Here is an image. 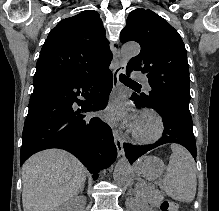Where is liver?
Instances as JSON below:
<instances>
[{
	"label": "liver",
	"mask_w": 219,
	"mask_h": 211,
	"mask_svg": "<svg viewBox=\"0 0 219 211\" xmlns=\"http://www.w3.org/2000/svg\"><path fill=\"white\" fill-rule=\"evenodd\" d=\"M86 167L64 149H44L22 165L24 211H56L80 187H84Z\"/></svg>",
	"instance_id": "1"
}]
</instances>
